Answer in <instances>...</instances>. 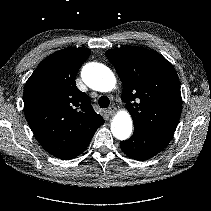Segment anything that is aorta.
I'll list each match as a JSON object with an SVG mask.
<instances>
[{
    "instance_id": "aorta-1",
    "label": "aorta",
    "mask_w": 211,
    "mask_h": 211,
    "mask_svg": "<svg viewBox=\"0 0 211 211\" xmlns=\"http://www.w3.org/2000/svg\"><path fill=\"white\" fill-rule=\"evenodd\" d=\"M81 77L90 88L100 91H111L116 83L113 72L101 63L91 62L86 64ZM132 119L127 111H120L111 122V132L119 140H126L132 133Z\"/></svg>"
}]
</instances>
